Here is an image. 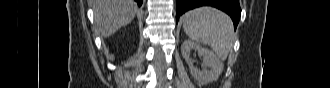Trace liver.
Returning <instances> with one entry per match:
<instances>
[{
  "label": "liver",
  "mask_w": 330,
  "mask_h": 88,
  "mask_svg": "<svg viewBox=\"0 0 330 88\" xmlns=\"http://www.w3.org/2000/svg\"><path fill=\"white\" fill-rule=\"evenodd\" d=\"M96 27L102 37H109L129 24L137 13L133 0L92 1Z\"/></svg>",
  "instance_id": "6515ba94"
}]
</instances>
